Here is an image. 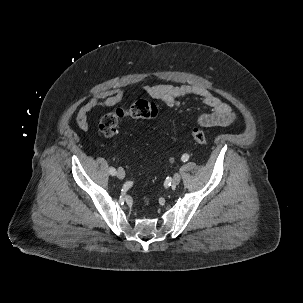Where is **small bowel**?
Here are the masks:
<instances>
[{"instance_id":"obj_1","label":"small bowel","mask_w":303,"mask_h":303,"mask_svg":"<svg viewBox=\"0 0 303 303\" xmlns=\"http://www.w3.org/2000/svg\"><path fill=\"white\" fill-rule=\"evenodd\" d=\"M145 91L150 97L160 100L172 108H179L182 98L188 96L199 97L203 104L208 107L207 112H203L197 117V123L204 127L229 126L236 118L233 110L227 103L202 86L156 84L146 86ZM123 97L124 91L121 88H114L98 93L80 107L76 117L77 126L82 131H87L89 127L88 115L91 111L99 107L114 106L122 101Z\"/></svg>"}]
</instances>
